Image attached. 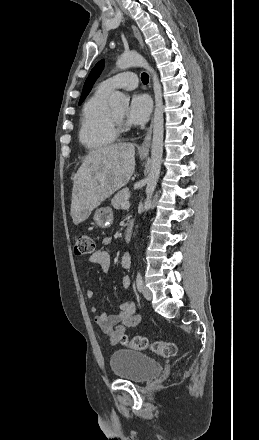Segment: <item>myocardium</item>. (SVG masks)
Masks as SVG:
<instances>
[{"mask_svg":"<svg viewBox=\"0 0 259 440\" xmlns=\"http://www.w3.org/2000/svg\"><path fill=\"white\" fill-rule=\"evenodd\" d=\"M112 119L117 133H126L129 131V126L122 118L118 117L114 111H112Z\"/></svg>","mask_w":259,"mask_h":440,"instance_id":"1","label":"myocardium"}]
</instances>
